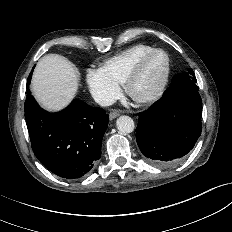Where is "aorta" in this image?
Listing matches in <instances>:
<instances>
[{"label": "aorta", "instance_id": "762f6f07", "mask_svg": "<svg viewBox=\"0 0 232 232\" xmlns=\"http://www.w3.org/2000/svg\"><path fill=\"white\" fill-rule=\"evenodd\" d=\"M117 129L122 133H131L135 128L134 121L129 116H120L116 121Z\"/></svg>", "mask_w": 232, "mask_h": 232}]
</instances>
